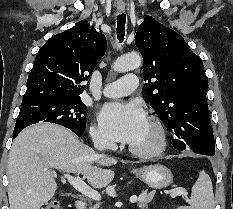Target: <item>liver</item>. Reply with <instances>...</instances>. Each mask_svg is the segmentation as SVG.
I'll list each match as a JSON object with an SVG mask.
<instances>
[{
    "label": "liver",
    "instance_id": "liver-1",
    "mask_svg": "<svg viewBox=\"0 0 233 209\" xmlns=\"http://www.w3.org/2000/svg\"><path fill=\"white\" fill-rule=\"evenodd\" d=\"M117 160L100 155L80 142L68 129L38 124L24 129L14 140L8 159L10 209H40L57 190L54 170L81 174L94 188L114 178L110 167Z\"/></svg>",
    "mask_w": 233,
    "mask_h": 209
}]
</instances>
